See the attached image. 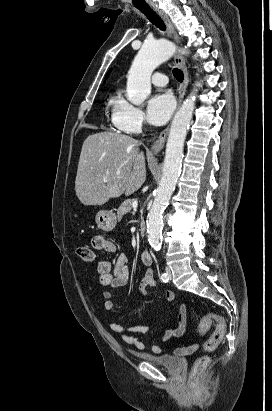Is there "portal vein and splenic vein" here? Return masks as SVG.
<instances>
[{"label": "portal vein and splenic vein", "instance_id": "1", "mask_svg": "<svg viewBox=\"0 0 272 411\" xmlns=\"http://www.w3.org/2000/svg\"><path fill=\"white\" fill-rule=\"evenodd\" d=\"M106 181H107V180L104 179V182H106ZM137 207H138V201H137V200H134V201L132 202V208H133L134 210H136Z\"/></svg>", "mask_w": 272, "mask_h": 411}]
</instances>
